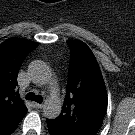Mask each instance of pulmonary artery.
<instances>
[{
	"mask_svg": "<svg viewBox=\"0 0 135 135\" xmlns=\"http://www.w3.org/2000/svg\"><path fill=\"white\" fill-rule=\"evenodd\" d=\"M52 90L56 93V91H57L56 85H54V86L52 87Z\"/></svg>",
	"mask_w": 135,
	"mask_h": 135,
	"instance_id": "e3ab8cb5",
	"label": "pulmonary artery"
}]
</instances>
